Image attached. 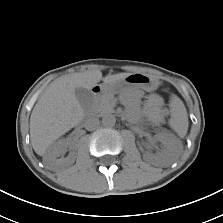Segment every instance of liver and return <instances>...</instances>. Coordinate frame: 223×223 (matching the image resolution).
<instances>
[{
  "instance_id": "6515ba94",
  "label": "liver",
  "mask_w": 223,
  "mask_h": 223,
  "mask_svg": "<svg viewBox=\"0 0 223 223\" xmlns=\"http://www.w3.org/2000/svg\"><path fill=\"white\" fill-rule=\"evenodd\" d=\"M131 73L107 75L99 70L64 75L53 81L33 108L30 117V138L34 151L43 156L48 147L66 132L77 126L84 117L75 89H91L100 80L115 82Z\"/></svg>"
}]
</instances>
